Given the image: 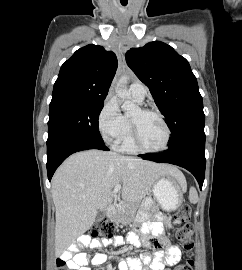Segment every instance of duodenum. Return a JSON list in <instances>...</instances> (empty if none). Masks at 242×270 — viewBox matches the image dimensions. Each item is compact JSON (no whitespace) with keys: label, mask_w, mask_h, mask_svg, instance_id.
Wrapping results in <instances>:
<instances>
[{"label":"duodenum","mask_w":242,"mask_h":270,"mask_svg":"<svg viewBox=\"0 0 242 270\" xmlns=\"http://www.w3.org/2000/svg\"><path fill=\"white\" fill-rule=\"evenodd\" d=\"M115 214V209L113 207H109L107 210V216L112 217Z\"/></svg>","instance_id":"duodenum-1"}]
</instances>
